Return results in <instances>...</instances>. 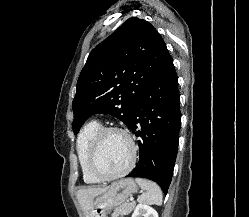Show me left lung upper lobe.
<instances>
[{"instance_id":"5c2ea615","label":"left lung upper lobe","mask_w":249,"mask_h":217,"mask_svg":"<svg viewBox=\"0 0 249 217\" xmlns=\"http://www.w3.org/2000/svg\"><path fill=\"white\" fill-rule=\"evenodd\" d=\"M170 56L149 22L126 20L96 46L77 81L73 100V131L95 113L110 114L128 127L134 108Z\"/></svg>"}]
</instances>
